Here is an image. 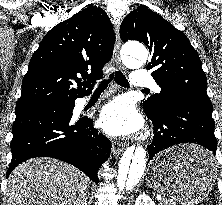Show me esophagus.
Listing matches in <instances>:
<instances>
[{
	"label": "esophagus",
	"mask_w": 222,
	"mask_h": 205,
	"mask_svg": "<svg viewBox=\"0 0 222 205\" xmlns=\"http://www.w3.org/2000/svg\"><path fill=\"white\" fill-rule=\"evenodd\" d=\"M114 30H115V35H116V42H115V46H114V61L119 69L125 71L126 68L124 67V65L122 64L121 59H120L121 40H120V36H119V20H116L114 22ZM124 148H125L124 144L114 143L113 144V153L118 155L124 150Z\"/></svg>",
	"instance_id": "1"
}]
</instances>
